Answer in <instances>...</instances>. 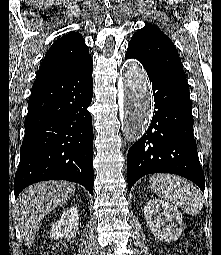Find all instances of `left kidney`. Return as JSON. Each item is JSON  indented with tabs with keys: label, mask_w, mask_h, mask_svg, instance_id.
Segmentation results:
<instances>
[{
	"label": "left kidney",
	"mask_w": 221,
	"mask_h": 255,
	"mask_svg": "<svg viewBox=\"0 0 221 255\" xmlns=\"http://www.w3.org/2000/svg\"><path fill=\"white\" fill-rule=\"evenodd\" d=\"M144 216L153 235L161 241L176 240L183 230V215L176 206L163 200H148Z\"/></svg>",
	"instance_id": "5707ae66"
}]
</instances>
